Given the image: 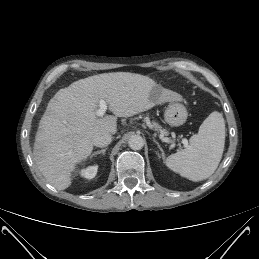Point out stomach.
<instances>
[{"label":"stomach","instance_id":"stomach-1","mask_svg":"<svg viewBox=\"0 0 259 259\" xmlns=\"http://www.w3.org/2000/svg\"><path fill=\"white\" fill-rule=\"evenodd\" d=\"M187 116L188 113L185 106L177 102L170 103L164 113L165 121L171 127L183 125L186 122Z\"/></svg>","mask_w":259,"mask_h":259}]
</instances>
